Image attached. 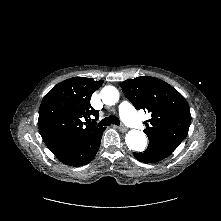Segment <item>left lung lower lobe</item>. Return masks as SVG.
<instances>
[{
  "instance_id": "obj_1",
  "label": "left lung lower lobe",
  "mask_w": 221,
  "mask_h": 221,
  "mask_svg": "<svg viewBox=\"0 0 221 221\" xmlns=\"http://www.w3.org/2000/svg\"><path fill=\"white\" fill-rule=\"evenodd\" d=\"M173 151L157 146H148L144 152L134 153L137 160L144 163H155L168 157Z\"/></svg>"
}]
</instances>
